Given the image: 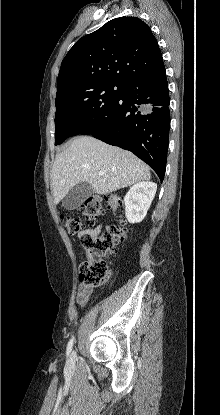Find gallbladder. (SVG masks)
Wrapping results in <instances>:
<instances>
[{
	"label": "gallbladder",
	"instance_id": "1",
	"mask_svg": "<svg viewBox=\"0 0 220 415\" xmlns=\"http://www.w3.org/2000/svg\"><path fill=\"white\" fill-rule=\"evenodd\" d=\"M94 193L93 188L86 182L75 185L62 200V206L67 210H74Z\"/></svg>",
	"mask_w": 220,
	"mask_h": 415
}]
</instances>
